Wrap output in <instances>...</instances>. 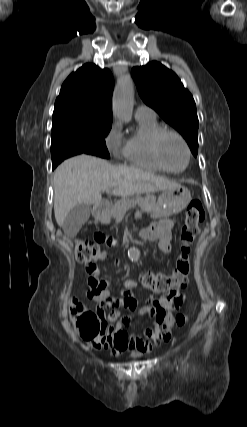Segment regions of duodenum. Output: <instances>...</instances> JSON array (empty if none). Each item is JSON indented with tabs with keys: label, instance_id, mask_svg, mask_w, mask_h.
Returning <instances> with one entry per match:
<instances>
[{
	"label": "duodenum",
	"instance_id": "410a0bca",
	"mask_svg": "<svg viewBox=\"0 0 247 427\" xmlns=\"http://www.w3.org/2000/svg\"><path fill=\"white\" fill-rule=\"evenodd\" d=\"M109 209V203L107 201H99L94 206V216L96 218H102Z\"/></svg>",
	"mask_w": 247,
	"mask_h": 427
}]
</instances>
